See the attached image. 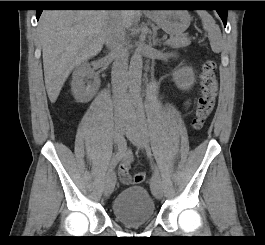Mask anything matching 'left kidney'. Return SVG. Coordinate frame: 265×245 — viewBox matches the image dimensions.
I'll return each instance as SVG.
<instances>
[{
    "label": "left kidney",
    "instance_id": "5707ae66",
    "mask_svg": "<svg viewBox=\"0 0 265 245\" xmlns=\"http://www.w3.org/2000/svg\"><path fill=\"white\" fill-rule=\"evenodd\" d=\"M173 80L181 90H189L194 84L195 75L191 67H183L173 74Z\"/></svg>",
    "mask_w": 265,
    "mask_h": 245
}]
</instances>
